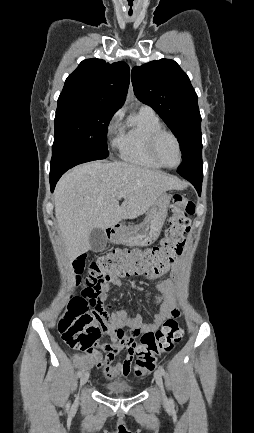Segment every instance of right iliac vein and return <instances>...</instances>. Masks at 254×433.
Instances as JSON below:
<instances>
[{
	"instance_id": "63e3f726",
	"label": "right iliac vein",
	"mask_w": 254,
	"mask_h": 433,
	"mask_svg": "<svg viewBox=\"0 0 254 433\" xmlns=\"http://www.w3.org/2000/svg\"><path fill=\"white\" fill-rule=\"evenodd\" d=\"M89 379V373L88 372H84L81 377H80V386H84L86 384V382Z\"/></svg>"
}]
</instances>
